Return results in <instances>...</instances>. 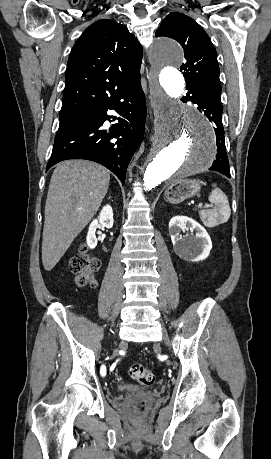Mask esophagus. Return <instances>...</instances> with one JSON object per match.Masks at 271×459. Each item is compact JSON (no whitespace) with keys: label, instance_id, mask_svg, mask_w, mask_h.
<instances>
[{"label":"esophagus","instance_id":"obj_1","mask_svg":"<svg viewBox=\"0 0 271 459\" xmlns=\"http://www.w3.org/2000/svg\"><path fill=\"white\" fill-rule=\"evenodd\" d=\"M149 60L152 62V58L151 57H149Z\"/></svg>","mask_w":271,"mask_h":459}]
</instances>
